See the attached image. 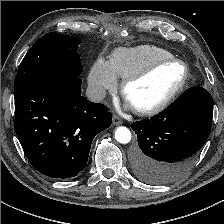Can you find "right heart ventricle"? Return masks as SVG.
<instances>
[{"mask_svg": "<svg viewBox=\"0 0 224 224\" xmlns=\"http://www.w3.org/2000/svg\"><path fill=\"white\" fill-rule=\"evenodd\" d=\"M169 57H173V55L166 49L146 44L114 50L109 63L114 74L125 79L142 70L153 61Z\"/></svg>", "mask_w": 224, "mask_h": 224, "instance_id": "obj_1", "label": "right heart ventricle"}]
</instances>
